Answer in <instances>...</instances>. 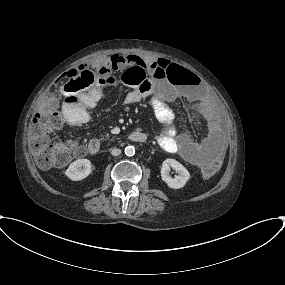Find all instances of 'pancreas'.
<instances>
[{
  "label": "pancreas",
  "mask_w": 285,
  "mask_h": 285,
  "mask_svg": "<svg viewBox=\"0 0 285 285\" xmlns=\"http://www.w3.org/2000/svg\"><path fill=\"white\" fill-rule=\"evenodd\" d=\"M106 137L108 138V137H109V134H107Z\"/></svg>",
  "instance_id": "obj_1"
}]
</instances>
